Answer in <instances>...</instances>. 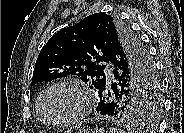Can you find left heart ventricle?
Masks as SVG:
<instances>
[{"label":"left heart ventricle","instance_id":"left-heart-ventricle-1","mask_svg":"<svg viewBox=\"0 0 184 133\" xmlns=\"http://www.w3.org/2000/svg\"><path fill=\"white\" fill-rule=\"evenodd\" d=\"M78 107V96L69 88L53 90L46 100V110L53 119L68 118L76 113Z\"/></svg>","mask_w":184,"mask_h":133}]
</instances>
